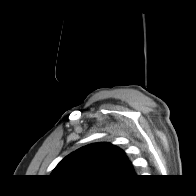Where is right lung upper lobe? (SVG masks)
<instances>
[{
	"mask_svg": "<svg viewBox=\"0 0 196 196\" xmlns=\"http://www.w3.org/2000/svg\"><path fill=\"white\" fill-rule=\"evenodd\" d=\"M51 175L86 182H111L134 177L135 172L120 148L100 142L66 156Z\"/></svg>",
	"mask_w": 196,
	"mask_h": 196,
	"instance_id": "right-lung-upper-lobe-1",
	"label": "right lung upper lobe"
}]
</instances>
